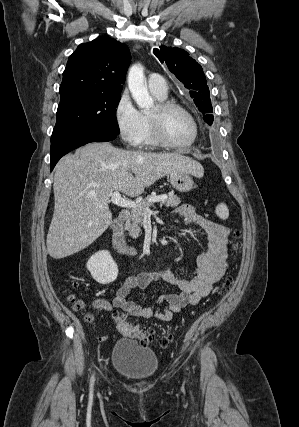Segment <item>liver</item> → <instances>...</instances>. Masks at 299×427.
<instances>
[{"instance_id": "6515ba94", "label": "liver", "mask_w": 299, "mask_h": 427, "mask_svg": "<svg viewBox=\"0 0 299 427\" xmlns=\"http://www.w3.org/2000/svg\"><path fill=\"white\" fill-rule=\"evenodd\" d=\"M174 172L202 177V165L178 153L118 149L89 143L64 156L54 174L55 206L47 235L54 259L75 254L93 243L112 222L108 200L115 191L135 197Z\"/></svg>"}]
</instances>
